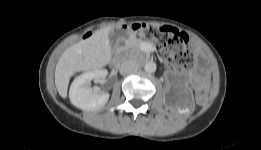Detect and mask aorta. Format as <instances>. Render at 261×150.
<instances>
[{
  "label": "aorta",
  "instance_id": "obj_1",
  "mask_svg": "<svg viewBox=\"0 0 261 150\" xmlns=\"http://www.w3.org/2000/svg\"><path fill=\"white\" fill-rule=\"evenodd\" d=\"M144 70L148 73H153L156 71V63L155 62H147L144 66Z\"/></svg>",
  "mask_w": 261,
  "mask_h": 150
}]
</instances>
